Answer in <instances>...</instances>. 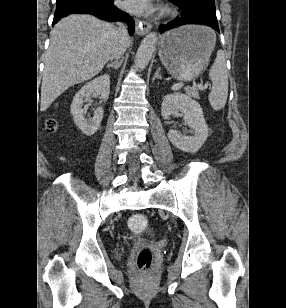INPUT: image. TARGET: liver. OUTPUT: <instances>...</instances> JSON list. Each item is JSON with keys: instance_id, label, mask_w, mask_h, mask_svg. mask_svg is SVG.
<instances>
[{"instance_id": "obj_1", "label": "liver", "mask_w": 286, "mask_h": 308, "mask_svg": "<svg viewBox=\"0 0 286 308\" xmlns=\"http://www.w3.org/2000/svg\"><path fill=\"white\" fill-rule=\"evenodd\" d=\"M117 40L116 28L96 17L61 19L50 33L45 54L40 110H47L69 87L96 76L112 58Z\"/></svg>"}]
</instances>
